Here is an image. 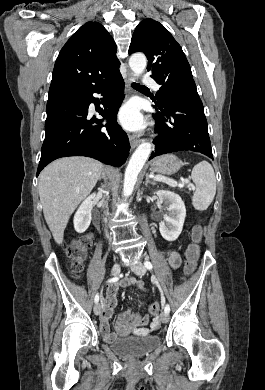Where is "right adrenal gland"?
I'll list each match as a JSON object with an SVG mask.
<instances>
[{
	"mask_svg": "<svg viewBox=\"0 0 265 390\" xmlns=\"http://www.w3.org/2000/svg\"><path fill=\"white\" fill-rule=\"evenodd\" d=\"M104 180V183L106 184L107 183V177H106V172H105V170H103L102 169V172H101V176H100V178H99V181H101V180ZM104 185H102V187H103Z\"/></svg>",
	"mask_w": 265,
	"mask_h": 390,
	"instance_id": "right-adrenal-gland-1",
	"label": "right adrenal gland"
}]
</instances>
